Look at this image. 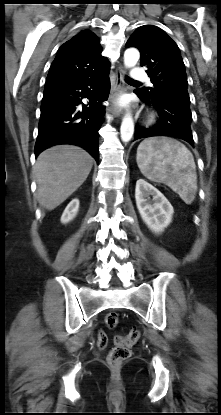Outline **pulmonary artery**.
I'll return each mask as SVG.
<instances>
[{"mask_svg":"<svg viewBox=\"0 0 221 415\" xmlns=\"http://www.w3.org/2000/svg\"><path fill=\"white\" fill-rule=\"evenodd\" d=\"M131 76H132V78H133L135 81H146V82H148V83L150 84V81H149V79H148L147 74H146V73H145V71H144L143 69H141V68H138V67L134 68V69L132 70V74H131Z\"/></svg>","mask_w":221,"mask_h":415,"instance_id":"pulmonary-artery-1","label":"pulmonary artery"}]
</instances>
